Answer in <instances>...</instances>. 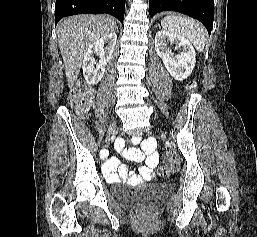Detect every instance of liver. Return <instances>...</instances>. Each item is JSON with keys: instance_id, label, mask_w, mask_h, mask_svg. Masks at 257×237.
I'll list each match as a JSON object with an SVG mask.
<instances>
[{"instance_id": "1", "label": "liver", "mask_w": 257, "mask_h": 237, "mask_svg": "<svg viewBox=\"0 0 257 237\" xmlns=\"http://www.w3.org/2000/svg\"><path fill=\"white\" fill-rule=\"evenodd\" d=\"M115 20L106 15H75L58 24V42L68 87L77 80L87 49L102 36L115 32Z\"/></svg>"}]
</instances>
